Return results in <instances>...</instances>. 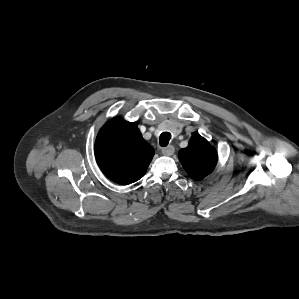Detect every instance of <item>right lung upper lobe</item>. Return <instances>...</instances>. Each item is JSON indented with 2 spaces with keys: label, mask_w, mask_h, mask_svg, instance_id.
Listing matches in <instances>:
<instances>
[{
  "label": "right lung upper lobe",
  "mask_w": 299,
  "mask_h": 299,
  "mask_svg": "<svg viewBox=\"0 0 299 299\" xmlns=\"http://www.w3.org/2000/svg\"><path fill=\"white\" fill-rule=\"evenodd\" d=\"M95 156L109 179L127 185L144 176L154 150L143 139L135 123L115 117L99 131Z\"/></svg>",
  "instance_id": "right-lung-upper-lobe-1"
}]
</instances>
